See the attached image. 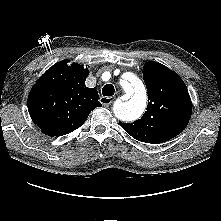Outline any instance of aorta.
<instances>
[{"mask_svg": "<svg viewBox=\"0 0 221 221\" xmlns=\"http://www.w3.org/2000/svg\"><path fill=\"white\" fill-rule=\"evenodd\" d=\"M121 85L126 93L127 101L115 103L114 114L120 120H135L142 115L146 108V90L143 83L135 75H130L128 81L122 80Z\"/></svg>", "mask_w": 221, "mask_h": 221, "instance_id": "1", "label": "aorta"}]
</instances>
